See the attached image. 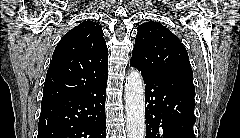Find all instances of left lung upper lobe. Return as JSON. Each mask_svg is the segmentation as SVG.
<instances>
[{"label": "left lung upper lobe", "mask_w": 240, "mask_h": 138, "mask_svg": "<svg viewBox=\"0 0 240 138\" xmlns=\"http://www.w3.org/2000/svg\"><path fill=\"white\" fill-rule=\"evenodd\" d=\"M137 30L131 65L141 73L154 76L185 74L193 77L188 53L170 30L153 21L139 25Z\"/></svg>", "instance_id": "obj_1"}]
</instances>
